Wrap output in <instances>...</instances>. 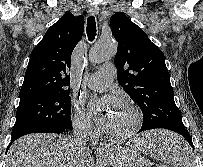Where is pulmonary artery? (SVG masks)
<instances>
[{
  "instance_id": "1",
  "label": "pulmonary artery",
  "mask_w": 203,
  "mask_h": 167,
  "mask_svg": "<svg viewBox=\"0 0 203 167\" xmlns=\"http://www.w3.org/2000/svg\"><path fill=\"white\" fill-rule=\"evenodd\" d=\"M116 68L112 64H106L100 70L91 75L87 81V86L93 90L106 89L115 78Z\"/></svg>"
}]
</instances>
